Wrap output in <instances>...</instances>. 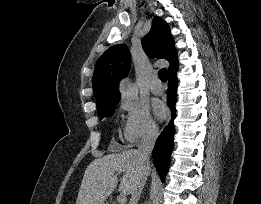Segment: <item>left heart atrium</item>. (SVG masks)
<instances>
[{"mask_svg":"<svg viewBox=\"0 0 261 204\" xmlns=\"http://www.w3.org/2000/svg\"><path fill=\"white\" fill-rule=\"evenodd\" d=\"M153 110H154L155 115L159 119L166 118V116L168 114V110H167L165 104L162 101H159V100L154 101Z\"/></svg>","mask_w":261,"mask_h":204,"instance_id":"obj_1","label":"left heart atrium"}]
</instances>
